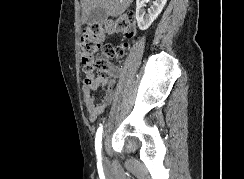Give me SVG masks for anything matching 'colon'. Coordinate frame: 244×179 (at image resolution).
I'll return each instance as SVG.
<instances>
[{"mask_svg": "<svg viewBox=\"0 0 244 179\" xmlns=\"http://www.w3.org/2000/svg\"><path fill=\"white\" fill-rule=\"evenodd\" d=\"M133 21L130 18L99 22V26L86 25L81 30L79 50L81 68L85 74V84L100 87L106 82L111 60L125 55L124 45L102 44L104 36L109 34L131 35Z\"/></svg>", "mask_w": 244, "mask_h": 179, "instance_id": "5ec220e1", "label": "colon"}]
</instances>
